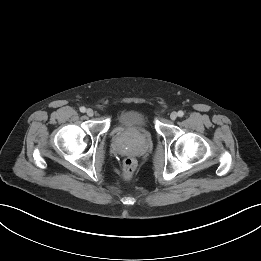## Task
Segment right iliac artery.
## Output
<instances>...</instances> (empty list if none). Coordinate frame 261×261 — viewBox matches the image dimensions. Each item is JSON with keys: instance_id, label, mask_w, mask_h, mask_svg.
Wrapping results in <instances>:
<instances>
[{"instance_id": "1", "label": "right iliac artery", "mask_w": 261, "mask_h": 261, "mask_svg": "<svg viewBox=\"0 0 261 261\" xmlns=\"http://www.w3.org/2000/svg\"><path fill=\"white\" fill-rule=\"evenodd\" d=\"M80 111H81L82 113H84V112L86 111V108H85V107H80Z\"/></svg>"}]
</instances>
